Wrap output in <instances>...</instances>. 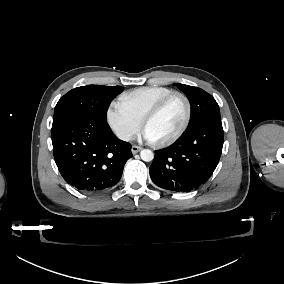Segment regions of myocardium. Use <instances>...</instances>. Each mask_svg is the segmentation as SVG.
I'll return each instance as SVG.
<instances>
[{"label":"myocardium","instance_id":"f54148a6","mask_svg":"<svg viewBox=\"0 0 284 284\" xmlns=\"http://www.w3.org/2000/svg\"><path fill=\"white\" fill-rule=\"evenodd\" d=\"M176 97H181L185 104H186V115L184 118L183 123L181 124L180 128L177 130V132H175L171 137L160 141V142H156L155 144L159 147H165L168 146L172 143H174L176 140H178L183 133L186 131L190 120H191V116H192V105L190 102V99L187 97V95H185L184 93L181 92H174L172 94H169L168 96H166L165 98H163L161 101H159L155 106H153L142 118V128H144V125L150 121L151 119H153L154 117H156L157 115H159L162 110Z\"/></svg>","mask_w":284,"mask_h":284}]
</instances>
